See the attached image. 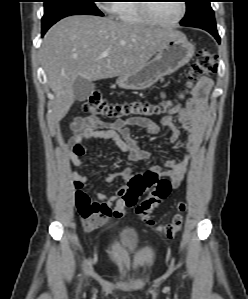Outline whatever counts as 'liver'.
<instances>
[{"label":"liver","instance_id":"1","mask_svg":"<svg viewBox=\"0 0 248 299\" xmlns=\"http://www.w3.org/2000/svg\"><path fill=\"white\" fill-rule=\"evenodd\" d=\"M179 31L114 21L111 18L75 15L53 25L45 34L41 58L55 98L52 117L62 120L75 101L73 84L130 74L149 60ZM109 52L101 58L100 54Z\"/></svg>","mask_w":248,"mask_h":299}]
</instances>
